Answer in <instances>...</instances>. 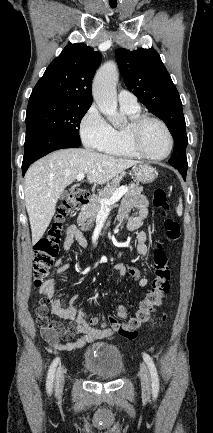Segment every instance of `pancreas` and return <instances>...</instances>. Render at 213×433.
Returning a JSON list of instances; mask_svg holds the SVG:
<instances>
[{
	"label": "pancreas",
	"mask_w": 213,
	"mask_h": 433,
	"mask_svg": "<svg viewBox=\"0 0 213 433\" xmlns=\"http://www.w3.org/2000/svg\"><path fill=\"white\" fill-rule=\"evenodd\" d=\"M122 177H116L111 182L107 183L104 189L100 190L97 196H92L89 203L81 208V212L77 218V222L81 226L82 230L87 231L93 227V223L101 209V199H110L113 193L118 189ZM128 191L125 193L126 196H139L142 192V188L137 184L131 183L128 186Z\"/></svg>",
	"instance_id": "1"
}]
</instances>
